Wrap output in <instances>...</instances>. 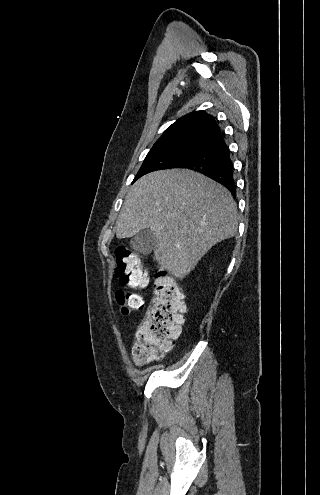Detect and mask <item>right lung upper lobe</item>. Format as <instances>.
<instances>
[{
  "label": "right lung upper lobe",
  "instance_id": "1",
  "mask_svg": "<svg viewBox=\"0 0 320 495\" xmlns=\"http://www.w3.org/2000/svg\"><path fill=\"white\" fill-rule=\"evenodd\" d=\"M219 133L221 130L213 116L204 111H195L179 118L154 145L185 139L208 141Z\"/></svg>",
  "mask_w": 320,
  "mask_h": 495
}]
</instances>
